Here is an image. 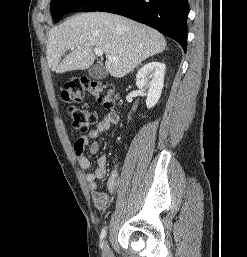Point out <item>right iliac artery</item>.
Returning a JSON list of instances; mask_svg holds the SVG:
<instances>
[{
    "label": "right iliac artery",
    "instance_id": "1",
    "mask_svg": "<svg viewBox=\"0 0 247 257\" xmlns=\"http://www.w3.org/2000/svg\"><path fill=\"white\" fill-rule=\"evenodd\" d=\"M106 233H107V228L104 227L103 230H102V232H101V235H100L101 246H102V241H103V239H104L105 236H106Z\"/></svg>",
    "mask_w": 247,
    "mask_h": 257
}]
</instances>
